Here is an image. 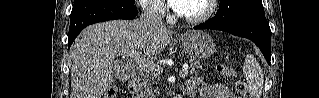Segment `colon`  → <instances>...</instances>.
Segmentation results:
<instances>
[{
    "label": "colon",
    "instance_id": "1",
    "mask_svg": "<svg viewBox=\"0 0 319 98\" xmlns=\"http://www.w3.org/2000/svg\"><path fill=\"white\" fill-rule=\"evenodd\" d=\"M217 71L219 74L226 78L234 79L235 78V72L234 70L227 66V65H218L217 66ZM236 90L239 92V94L243 98H252V94L249 91L248 85L246 82L241 81V80H236L234 82ZM117 96V88L112 86L106 91V98H115Z\"/></svg>",
    "mask_w": 319,
    "mask_h": 98
}]
</instances>
